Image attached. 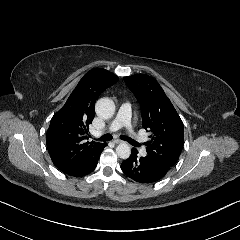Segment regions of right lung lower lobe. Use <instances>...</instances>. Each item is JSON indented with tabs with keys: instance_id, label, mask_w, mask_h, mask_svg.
I'll return each instance as SVG.
<instances>
[{
	"instance_id": "obj_1",
	"label": "right lung lower lobe",
	"mask_w": 240,
	"mask_h": 240,
	"mask_svg": "<svg viewBox=\"0 0 240 240\" xmlns=\"http://www.w3.org/2000/svg\"><path fill=\"white\" fill-rule=\"evenodd\" d=\"M101 152L99 154H97L96 156H94L93 158H91L87 162V164L84 165L83 167H81V168H79L77 170L71 171V172H64V173H66V174H68L70 176H74V177H83V176L91 173L95 169V167H96V165L98 163L99 156H100Z\"/></svg>"
}]
</instances>
